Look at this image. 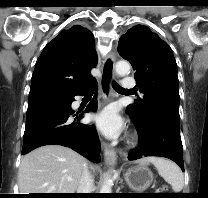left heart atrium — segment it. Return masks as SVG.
Masks as SVG:
<instances>
[{
	"mask_svg": "<svg viewBox=\"0 0 208 198\" xmlns=\"http://www.w3.org/2000/svg\"><path fill=\"white\" fill-rule=\"evenodd\" d=\"M98 129L107 137H116L123 128V120L117 111L109 106L94 118Z\"/></svg>",
	"mask_w": 208,
	"mask_h": 198,
	"instance_id": "obj_1",
	"label": "left heart atrium"
}]
</instances>
